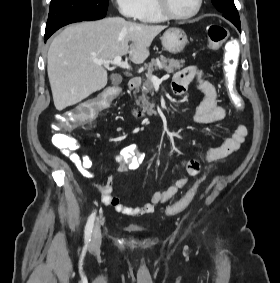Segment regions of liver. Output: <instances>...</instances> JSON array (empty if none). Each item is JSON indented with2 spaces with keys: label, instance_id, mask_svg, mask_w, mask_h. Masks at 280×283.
<instances>
[{
  "label": "liver",
  "instance_id": "liver-1",
  "mask_svg": "<svg viewBox=\"0 0 280 283\" xmlns=\"http://www.w3.org/2000/svg\"><path fill=\"white\" fill-rule=\"evenodd\" d=\"M166 26L137 24L121 17L69 25L56 36L47 54V72L55 108L75 105L107 85L104 65L94 60H109L129 54L141 64L149 56L153 39Z\"/></svg>",
  "mask_w": 280,
  "mask_h": 283
}]
</instances>
